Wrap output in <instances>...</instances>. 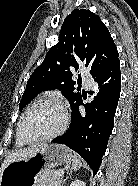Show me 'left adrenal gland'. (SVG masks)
<instances>
[{
  "label": "left adrenal gland",
  "mask_w": 138,
  "mask_h": 186,
  "mask_svg": "<svg viewBox=\"0 0 138 186\" xmlns=\"http://www.w3.org/2000/svg\"><path fill=\"white\" fill-rule=\"evenodd\" d=\"M67 179H68V177H66V178L62 181L61 186L64 185V183L66 182Z\"/></svg>",
  "instance_id": "left-adrenal-gland-1"
}]
</instances>
